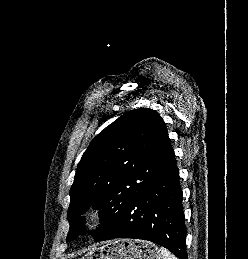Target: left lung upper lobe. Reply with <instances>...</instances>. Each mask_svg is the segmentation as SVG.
Instances as JSON below:
<instances>
[{
    "mask_svg": "<svg viewBox=\"0 0 248 259\" xmlns=\"http://www.w3.org/2000/svg\"><path fill=\"white\" fill-rule=\"evenodd\" d=\"M166 125L147 108L126 112L107 126L83 154L70 189L67 242L85 234L84 217L101 209L96 236L110 226L173 163Z\"/></svg>",
    "mask_w": 248,
    "mask_h": 259,
    "instance_id": "5c2ea615",
    "label": "left lung upper lobe"
}]
</instances>
